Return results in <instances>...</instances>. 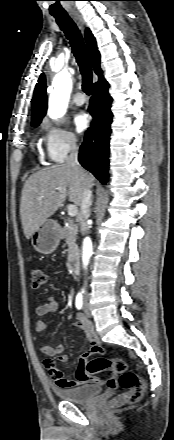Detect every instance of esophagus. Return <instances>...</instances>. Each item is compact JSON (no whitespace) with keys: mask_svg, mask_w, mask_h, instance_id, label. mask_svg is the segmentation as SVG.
I'll list each match as a JSON object with an SVG mask.
<instances>
[{"mask_svg":"<svg viewBox=\"0 0 174 440\" xmlns=\"http://www.w3.org/2000/svg\"><path fill=\"white\" fill-rule=\"evenodd\" d=\"M71 17H72V19L75 21V23L77 24V26H78L81 30H83V22H82L81 18L78 17L77 15H72Z\"/></svg>","mask_w":174,"mask_h":440,"instance_id":"1","label":"esophagus"}]
</instances>
